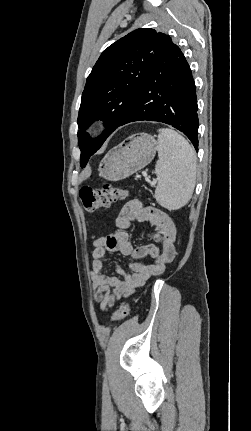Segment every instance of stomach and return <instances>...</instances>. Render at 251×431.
Masks as SVG:
<instances>
[{
	"label": "stomach",
	"mask_w": 251,
	"mask_h": 431,
	"mask_svg": "<svg viewBox=\"0 0 251 431\" xmlns=\"http://www.w3.org/2000/svg\"><path fill=\"white\" fill-rule=\"evenodd\" d=\"M156 150L157 142L151 135H133L105 155L100 164V175L109 181L125 179L148 165Z\"/></svg>",
	"instance_id": "1"
}]
</instances>
